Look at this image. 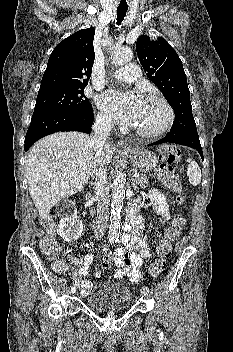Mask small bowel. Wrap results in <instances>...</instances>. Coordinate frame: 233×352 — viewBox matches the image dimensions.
<instances>
[{
  "label": "small bowel",
  "mask_w": 233,
  "mask_h": 352,
  "mask_svg": "<svg viewBox=\"0 0 233 352\" xmlns=\"http://www.w3.org/2000/svg\"><path fill=\"white\" fill-rule=\"evenodd\" d=\"M150 199L157 213L164 219H169V205L166 196L153 189L150 192ZM150 257L151 251L149 240L144 235L143 218L133 212L128 216L124 226L120 245L114 251V262L117 266L114 278L127 276L132 282H138L141 279V266L144 260ZM73 262L79 266V269L71 271L73 283L80 288L81 294L86 296L92 288V283L85 279L92 264V255L86 254L82 259H73Z\"/></svg>",
  "instance_id": "1"
}]
</instances>
